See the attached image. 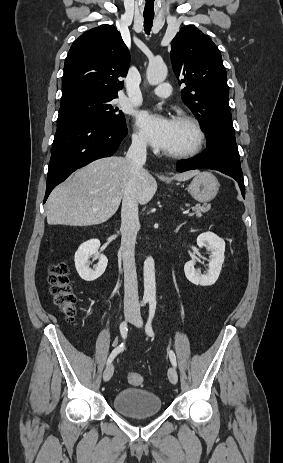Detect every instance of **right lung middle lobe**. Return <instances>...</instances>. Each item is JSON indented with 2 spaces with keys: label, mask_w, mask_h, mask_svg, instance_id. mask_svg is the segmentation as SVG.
Here are the masks:
<instances>
[{
  "label": "right lung middle lobe",
  "mask_w": 283,
  "mask_h": 463,
  "mask_svg": "<svg viewBox=\"0 0 283 463\" xmlns=\"http://www.w3.org/2000/svg\"><path fill=\"white\" fill-rule=\"evenodd\" d=\"M116 97L117 96H91L61 106L59 109L57 128L83 120L125 124L124 114L110 103Z\"/></svg>",
  "instance_id": "dd1d6c3e"
}]
</instances>
